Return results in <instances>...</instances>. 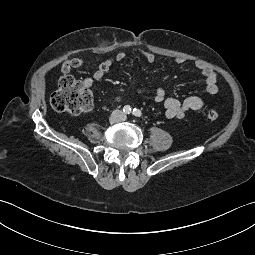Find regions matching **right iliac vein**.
<instances>
[{
    "label": "right iliac vein",
    "instance_id": "1",
    "mask_svg": "<svg viewBox=\"0 0 255 255\" xmlns=\"http://www.w3.org/2000/svg\"><path fill=\"white\" fill-rule=\"evenodd\" d=\"M110 121L112 122V121H113V119L111 118V119H110Z\"/></svg>",
    "mask_w": 255,
    "mask_h": 255
}]
</instances>
